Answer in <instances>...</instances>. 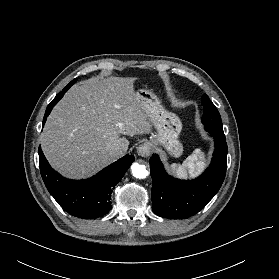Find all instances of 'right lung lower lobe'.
Here are the masks:
<instances>
[{
	"label": "right lung lower lobe",
	"instance_id": "98d812e1",
	"mask_svg": "<svg viewBox=\"0 0 279 279\" xmlns=\"http://www.w3.org/2000/svg\"><path fill=\"white\" fill-rule=\"evenodd\" d=\"M71 86L68 84L48 105L43 124ZM38 154L41 176L50 194L66 212L82 219L98 218L111 210V193L134 161V156L127 154L89 179L69 180L50 167L40 147Z\"/></svg>",
	"mask_w": 279,
	"mask_h": 279
}]
</instances>
